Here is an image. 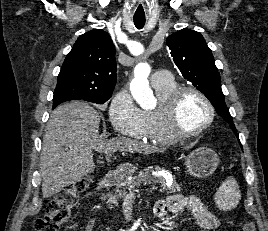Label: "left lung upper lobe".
Returning a JSON list of instances; mask_svg holds the SVG:
<instances>
[{
    "label": "left lung upper lobe",
    "mask_w": 268,
    "mask_h": 231,
    "mask_svg": "<svg viewBox=\"0 0 268 231\" xmlns=\"http://www.w3.org/2000/svg\"><path fill=\"white\" fill-rule=\"evenodd\" d=\"M171 56L185 79L197 87L213 104L234 132H237L221 89L220 75L211 50L203 36L194 30L182 29L167 37Z\"/></svg>",
    "instance_id": "left-lung-upper-lobe-1"
}]
</instances>
